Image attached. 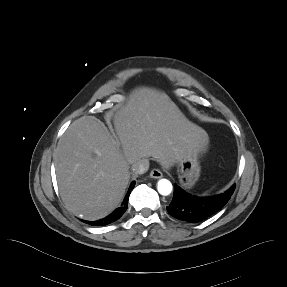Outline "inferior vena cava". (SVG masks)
Wrapping results in <instances>:
<instances>
[{"mask_svg":"<svg viewBox=\"0 0 287 287\" xmlns=\"http://www.w3.org/2000/svg\"><path fill=\"white\" fill-rule=\"evenodd\" d=\"M149 169V161L142 159L139 162L132 165V170L135 174H144Z\"/></svg>","mask_w":287,"mask_h":287,"instance_id":"obj_1","label":"inferior vena cava"}]
</instances>
